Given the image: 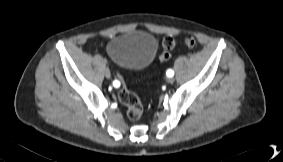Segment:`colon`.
<instances>
[{"instance_id": "colon-1", "label": "colon", "mask_w": 283, "mask_h": 162, "mask_svg": "<svg viewBox=\"0 0 283 162\" xmlns=\"http://www.w3.org/2000/svg\"><path fill=\"white\" fill-rule=\"evenodd\" d=\"M197 42L193 37L184 40L186 48H194ZM175 41L171 36H166L162 41V50L159 54V60L166 63L170 59V51L174 49ZM118 99L126 107L127 116L130 120H137L142 115V104L138 96L131 92L125 85L118 89Z\"/></svg>"}]
</instances>
